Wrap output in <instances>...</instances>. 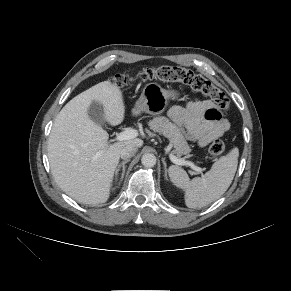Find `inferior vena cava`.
Segmentation results:
<instances>
[{
	"instance_id": "602c4592",
	"label": "inferior vena cava",
	"mask_w": 291,
	"mask_h": 291,
	"mask_svg": "<svg viewBox=\"0 0 291 291\" xmlns=\"http://www.w3.org/2000/svg\"><path fill=\"white\" fill-rule=\"evenodd\" d=\"M137 150L138 148L135 145L132 144L127 145L121 150L120 156L124 160L130 159L132 156L136 154Z\"/></svg>"
}]
</instances>
